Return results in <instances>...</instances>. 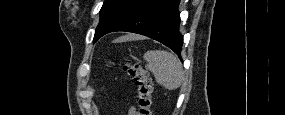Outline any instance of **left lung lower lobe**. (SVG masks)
I'll return each instance as SVG.
<instances>
[{
  "mask_svg": "<svg viewBox=\"0 0 285 115\" xmlns=\"http://www.w3.org/2000/svg\"><path fill=\"white\" fill-rule=\"evenodd\" d=\"M178 5L179 0H130L107 24L103 35L115 31L142 34L168 46L181 59Z\"/></svg>",
  "mask_w": 285,
  "mask_h": 115,
  "instance_id": "0a47b994",
  "label": "left lung lower lobe"
}]
</instances>
